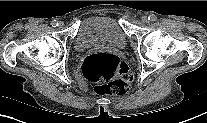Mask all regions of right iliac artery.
I'll list each match as a JSON object with an SVG mask.
<instances>
[{
	"label": "right iliac artery",
	"instance_id": "obj_1",
	"mask_svg": "<svg viewBox=\"0 0 207 123\" xmlns=\"http://www.w3.org/2000/svg\"><path fill=\"white\" fill-rule=\"evenodd\" d=\"M52 27H57L58 26V21L57 20H52L51 22Z\"/></svg>",
	"mask_w": 207,
	"mask_h": 123
}]
</instances>
